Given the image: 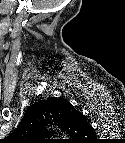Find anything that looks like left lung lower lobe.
<instances>
[{
	"label": "left lung lower lobe",
	"instance_id": "left-lung-lower-lobe-1",
	"mask_svg": "<svg viewBox=\"0 0 125 143\" xmlns=\"http://www.w3.org/2000/svg\"><path fill=\"white\" fill-rule=\"evenodd\" d=\"M85 116L77 111L71 103H67L65 106V123L71 125L75 121H81Z\"/></svg>",
	"mask_w": 125,
	"mask_h": 143
}]
</instances>
